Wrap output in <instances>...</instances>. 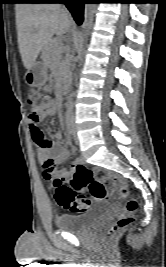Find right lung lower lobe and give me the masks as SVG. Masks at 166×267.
<instances>
[{"label":"right lung lower lobe","mask_w":166,"mask_h":267,"mask_svg":"<svg viewBox=\"0 0 166 267\" xmlns=\"http://www.w3.org/2000/svg\"><path fill=\"white\" fill-rule=\"evenodd\" d=\"M85 2V0H25L21 3H64L72 13V16L77 24L81 25L83 21V8Z\"/></svg>","instance_id":"1"}]
</instances>
